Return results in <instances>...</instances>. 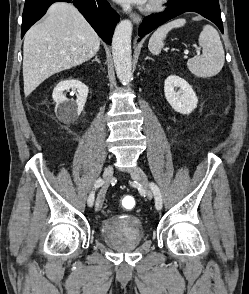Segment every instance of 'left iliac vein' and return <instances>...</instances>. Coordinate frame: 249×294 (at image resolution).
Here are the masks:
<instances>
[{"instance_id":"obj_1","label":"left iliac vein","mask_w":249,"mask_h":294,"mask_svg":"<svg viewBox=\"0 0 249 294\" xmlns=\"http://www.w3.org/2000/svg\"><path fill=\"white\" fill-rule=\"evenodd\" d=\"M131 177L133 180L137 181L143 186L144 192L148 199H152L153 192L151 190V187L148 183V179L144 171L140 167H135L131 171Z\"/></svg>"}]
</instances>
